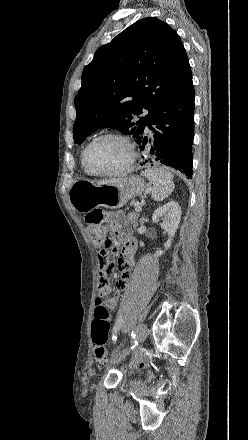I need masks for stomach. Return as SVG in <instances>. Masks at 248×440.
<instances>
[{"instance_id": "0dacf381", "label": "stomach", "mask_w": 248, "mask_h": 440, "mask_svg": "<svg viewBox=\"0 0 248 440\" xmlns=\"http://www.w3.org/2000/svg\"><path fill=\"white\" fill-rule=\"evenodd\" d=\"M147 185L138 176L106 184L91 181H76L71 186L68 198L76 211L88 212L96 207L119 208L129 199L141 195Z\"/></svg>"}]
</instances>
